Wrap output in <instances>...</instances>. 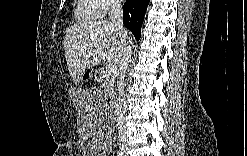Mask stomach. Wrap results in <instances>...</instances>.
Instances as JSON below:
<instances>
[{"instance_id": "0dacf381", "label": "stomach", "mask_w": 247, "mask_h": 156, "mask_svg": "<svg viewBox=\"0 0 247 156\" xmlns=\"http://www.w3.org/2000/svg\"><path fill=\"white\" fill-rule=\"evenodd\" d=\"M85 75V78H88V77H90V73H89V70H86L85 72H84V74L82 75V78H83V76Z\"/></svg>"}]
</instances>
